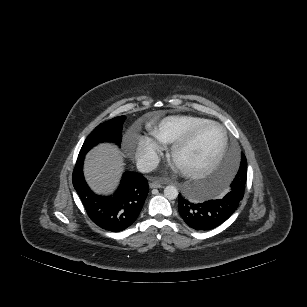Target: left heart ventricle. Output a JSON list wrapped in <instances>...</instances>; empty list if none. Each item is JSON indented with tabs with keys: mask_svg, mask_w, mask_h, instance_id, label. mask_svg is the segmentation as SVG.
Instances as JSON below:
<instances>
[{
	"mask_svg": "<svg viewBox=\"0 0 307 307\" xmlns=\"http://www.w3.org/2000/svg\"><path fill=\"white\" fill-rule=\"evenodd\" d=\"M222 143V133L216 126L203 129L193 142L176 157L175 164L181 169H197L207 165Z\"/></svg>",
	"mask_w": 307,
	"mask_h": 307,
	"instance_id": "left-heart-ventricle-1",
	"label": "left heart ventricle"
}]
</instances>
